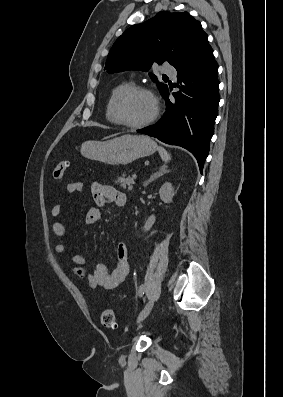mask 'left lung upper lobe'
<instances>
[{
  "instance_id": "obj_1",
  "label": "left lung upper lobe",
  "mask_w": 283,
  "mask_h": 397,
  "mask_svg": "<svg viewBox=\"0 0 283 397\" xmlns=\"http://www.w3.org/2000/svg\"><path fill=\"white\" fill-rule=\"evenodd\" d=\"M208 36L201 23L187 12H159L154 18L127 29L113 44L105 70L148 71L154 62L167 61L176 69L207 46ZM154 82L156 76L150 73ZM161 94L167 86L157 82Z\"/></svg>"
}]
</instances>
